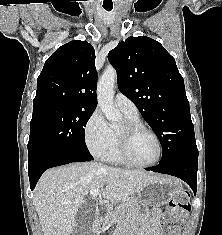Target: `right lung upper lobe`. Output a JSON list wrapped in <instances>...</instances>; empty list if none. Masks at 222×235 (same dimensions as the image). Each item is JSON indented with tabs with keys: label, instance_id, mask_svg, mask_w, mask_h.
Returning a JSON list of instances; mask_svg holds the SVG:
<instances>
[{
	"label": "right lung upper lobe",
	"instance_id": "1",
	"mask_svg": "<svg viewBox=\"0 0 222 235\" xmlns=\"http://www.w3.org/2000/svg\"><path fill=\"white\" fill-rule=\"evenodd\" d=\"M96 88L93 47L87 41H71L46 60L37 79L33 113L54 105L95 110Z\"/></svg>",
	"mask_w": 222,
	"mask_h": 235
}]
</instances>
